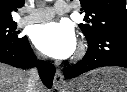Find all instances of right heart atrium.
<instances>
[{
  "instance_id": "obj_1",
  "label": "right heart atrium",
  "mask_w": 127,
  "mask_h": 92,
  "mask_svg": "<svg viewBox=\"0 0 127 92\" xmlns=\"http://www.w3.org/2000/svg\"><path fill=\"white\" fill-rule=\"evenodd\" d=\"M35 57H36L37 59H41V58H42L41 54L38 53V52L35 53Z\"/></svg>"
}]
</instances>
